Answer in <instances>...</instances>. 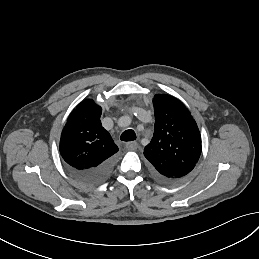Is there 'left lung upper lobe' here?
Masks as SVG:
<instances>
[{
    "instance_id": "obj_1",
    "label": "left lung upper lobe",
    "mask_w": 259,
    "mask_h": 259,
    "mask_svg": "<svg viewBox=\"0 0 259 259\" xmlns=\"http://www.w3.org/2000/svg\"><path fill=\"white\" fill-rule=\"evenodd\" d=\"M154 135L144 156L154 172L168 180H179L193 170L201 155V136L188 109L176 98L157 94Z\"/></svg>"
}]
</instances>
